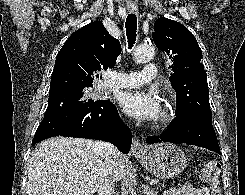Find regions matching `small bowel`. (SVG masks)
Segmentation results:
<instances>
[{"mask_svg": "<svg viewBox=\"0 0 245 195\" xmlns=\"http://www.w3.org/2000/svg\"><path fill=\"white\" fill-rule=\"evenodd\" d=\"M164 195H204V192L199 187L184 186L180 188H173L164 193Z\"/></svg>", "mask_w": 245, "mask_h": 195, "instance_id": "small-bowel-1", "label": "small bowel"}]
</instances>
